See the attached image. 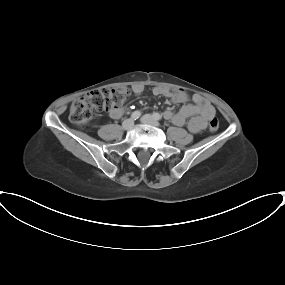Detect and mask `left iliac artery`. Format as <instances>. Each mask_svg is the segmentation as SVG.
Returning <instances> with one entry per match:
<instances>
[{
    "mask_svg": "<svg viewBox=\"0 0 285 285\" xmlns=\"http://www.w3.org/2000/svg\"><path fill=\"white\" fill-rule=\"evenodd\" d=\"M153 117H154V119H156V120H161V119H162V117H161V115H160L159 113H154V114H153Z\"/></svg>",
    "mask_w": 285,
    "mask_h": 285,
    "instance_id": "obj_1",
    "label": "left iliac artery"
}]
</instances>
